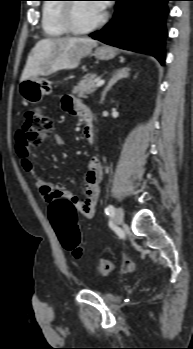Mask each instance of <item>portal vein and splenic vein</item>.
Instances as JSON below:
<instances>
[{
    "label": "portal vein and splenic vein",
    "mask_w": 193,
    "mask_h": 349,
    "mask_svg": "<svg viewBox=\"0 0 193 349\" xmlns=\"http://www.w3.org/2000/svg\"><path fill=\"white\" fill-rule=\"evenodd\" d=\"M104 83H105V80L100 79V80H98V81L96 82L95 86H96V87H101Z\"/></svg>",
    "instance_id": "obj_1"
}]
</instances>
